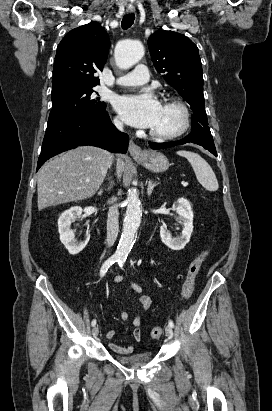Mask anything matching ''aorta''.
Returning a JSON list of instances; mask_svg holds the SVG:
<instances>
[{"label": "aorta", "instance_id": "762f6f07", "mask_svg": "<svg viewBox=\"0 0 272 411\" xmlns=\"http://www.w3.org/2000/svg\"><path fill=\"white\" fill-rule=\"evenodd\" d=\"M144 55V47L139 41H124L115 48L116 65L121 69H128L136 64ZM126 215L123 222V231L114 258L125 261L134 244L135 235L140 226L142 209L136 190H129L126 199Z\"/></svg>", "mask_w": 272, "mask_h": 411}]
</instances>
